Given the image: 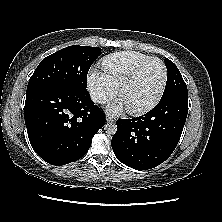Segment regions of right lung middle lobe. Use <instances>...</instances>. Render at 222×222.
I'll use <instances>...</instances> for the list:
<instances>
[{
	"label": "right lung middle lobe",
	"instance_id": "1",
	"mask_svg": "<svg viewBox=\"0 0 222 222\" xmlns=\"http://www.w3.org/2000/svg\"><path fill=\"white\" fill-rule=\"evenodd\" d=\"M100 54L99 47L74 45L47 56L31 76L26 93L48 85L72 90H87V73Z\"/></svg>",
	"mask_w": 222,
	"mask_h": 222
}]
</instances>
